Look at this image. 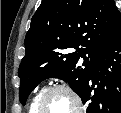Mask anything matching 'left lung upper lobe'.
<instances>
[{
  "label": "left lung upper lobe",
  "instance_id": "5c2ea615",
  "mask_svg": "<svg viewBox=\"0 0 121 113\" xmlns=\"http://www.w3.org/2000/svg\"><path fill=\"white\" fill-rule=\"evenodd\" d=\"M120 21L113 0H43L32 17L18 70L21 104L50 77L68 81L80 96Z\"/></svg>",
  "mask_w": 121,
  "mask_h": 113
}]
</instances>
